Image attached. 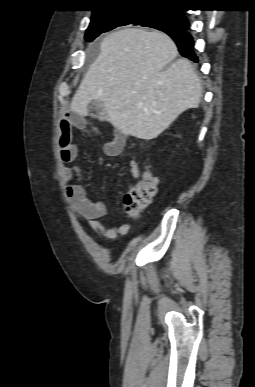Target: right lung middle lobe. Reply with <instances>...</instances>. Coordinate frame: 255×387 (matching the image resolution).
Masks as SVG:
<instances>
[{
  "instance_id": "obj_1",
  "label": "right lung middle lobe",
  "mask_w": 255,
  "mask_h": 387,
  "mask_svg": "<svg viewBox=\"0 0 255 387\" xmlns=\"http://www.w3.org/2000/svg\"><path fill=\"white\" fill-rule=\"evenodd\" d=\"M188 21L179 11L170 8H128L93 14L85 40L93 41L101 33L128 24L159 30L187 27Z\"/></svg>"
}]
</instances>
